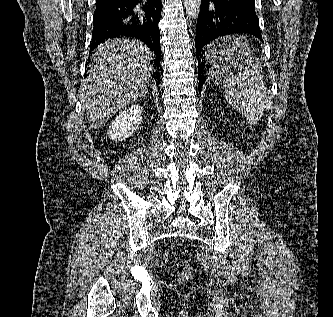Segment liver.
<instances>
[{"label": "liver", "mask_w": 333, "mask_h": 317, "mask_svg": "<svg viewBox=\"0 0 333 317\" xmlns=\"http://www.w3.org/2000/svg\"><path fill=\"white\" fill-rule=\"evenodd\" d=\"M151 50L141 41L111 39L98 46L80 89L87 120L101 128L115 113L139 99L153 73Z\"/></svg>", "instance_id": "liver-1"}]
</instances>
